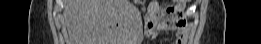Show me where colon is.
<instances>
[{
    "instance_id": "obj_1",
    "label": "colon",
    "mask_w": 261,
    "mask_h": 44,
    "mask_svg": "<svg viewBox=\"0 0 261 44\" xmlns=\"http://www.w3.org/2000/svg\"><path fill=\"white\" fill-rule=\"evenodd\" d=\"M186 3H187L186 0H177V1H174V6H183Z\"/></svg>"
}]
</instances>
